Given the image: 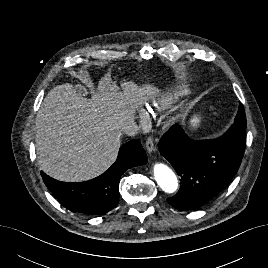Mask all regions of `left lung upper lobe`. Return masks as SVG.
Wrapping results in <instances>:
<instances>
[{"label":"left lung upper lobe","mask_w":268,"mask_h":268,"mask_svg":"<svg viewBox=\"0 0 268 268\" xmlns=\"http://www.w3.org/2000/svg\"><path fill=\"white\" fill-rule=\"evenodd\" d=\"M245 130H246V116L242 106H239L238 114L235 118L234 124L231 126L226 135H232L236 144L245 147Z\"/></svg>","instance_id":"1"}]
</instances>
